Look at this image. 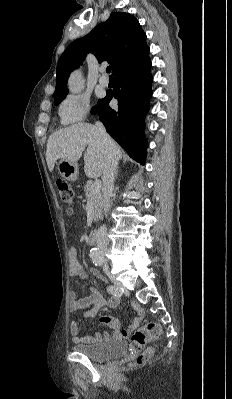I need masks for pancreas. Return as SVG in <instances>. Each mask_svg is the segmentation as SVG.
Returning <instances> with one entry per match:
<instances>
[{"label": "pancreas", "instance_id": "cf45deb5", "mask_svg": "<svg viewBox=\"0 0 232 399\" xmlns=\"http://www.w3.org/2000/svg\"><path fill=\"white\" fill-rule=\"evenodd\" d=\"M92 186L93 184H86L84 188L85 196L88 201H92L95 209V221H98L99 217L102 219L103 196L101 192H93Z\"/></svg>", "mask_w": 232, "mask_h": 399}]
</instances>
